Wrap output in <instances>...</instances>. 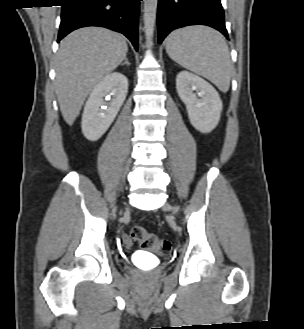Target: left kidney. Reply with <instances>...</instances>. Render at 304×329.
<instances>
[{
  "mask_svg": "<svg viewBox=\"0 0 304 329\" xmlns=\"http://www.w3.org/2000/svg\"><path fill=\"white\" fill-rule=\"evenodd\" d=\"M176 89L180 99L186 105L193 127L201 133H209L215 129L223 108L216 89L201 77L188 71L178 73Z\"/></svg>",
  "mask_w": 304,
  "mask_h": 329,
  "instance_id": "1",
  "label": "left kidney"
}]
</instances>
